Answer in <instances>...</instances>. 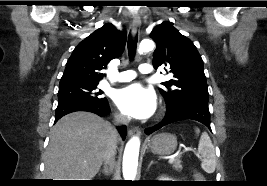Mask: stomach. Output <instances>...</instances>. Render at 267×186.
<instances>
[{"instance_id":"0dacf381","label":"stomach","mask_w":267,"mask_h":186,"mask_svg":"<svg viewBox=\"0 0 267 186\" xmlns=\"http://www.w3.org/2000/svg\"><path fill=\"white\" fill-rule=\"evenodd\" d=\"M146 146L152 153L170 155L177 147V138L170 133H160L147 140Z\"/></svg>"}]
</instances>
